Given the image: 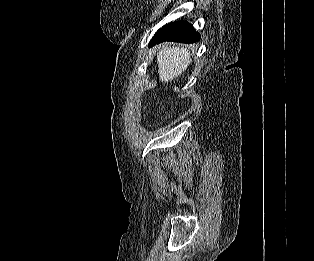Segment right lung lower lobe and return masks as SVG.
Returning <instances> with one entry per match:
<instances>
[{"instance_id": "right-lung-lower-lobe-1", "label": "right lung lower lobe", "mask_w": 314, "mask_h": 261, "mask_svg": "<svg viewBox=\"0 0 314 261\" xmlns=\"http://www.w3.org/2000/svg\"><path fill=\"white\" fill-rule=\"evenodd\" d=\"M199 39L200 35L195 31L192 25L186 21H177L169 23L159 29L150 41V46L165 41L195 43L199 41Z\"/></svg>"}]
</instances>
